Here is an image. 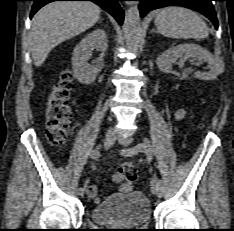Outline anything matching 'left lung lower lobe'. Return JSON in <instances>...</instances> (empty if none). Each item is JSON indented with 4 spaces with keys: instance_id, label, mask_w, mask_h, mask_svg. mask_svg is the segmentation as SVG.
<instances>
[{
    "instance_id": "left-lung-lower-lobe-1",
    "label": "left lung lower lobe",
    "mask_w": 234,
    "mask_h": 231,
    "mask_svg": "<svg viewBox=\"0 0 234 231\" xmlns=\"http://www.w3.org/2000/svg\"><path fill=\"white\" fill-rule=\"evenodd\" d=\"M140 1L139 9L141 17H144L150 10L177 5L195 10L207 18H209L214 24L215 28H218V22L216 13L212 5L213 0H137Z\"/></svg>"
}]
</instances>
